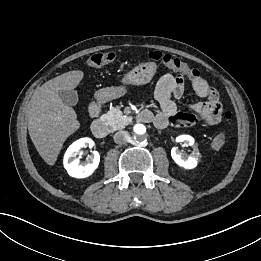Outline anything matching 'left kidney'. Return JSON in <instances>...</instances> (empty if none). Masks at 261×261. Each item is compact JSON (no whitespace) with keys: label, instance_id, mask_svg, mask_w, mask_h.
Segmentation results:
<instances>
[{"label":"left kidney","instance_id":"obj_1","mask_svg":"<svg viewBox=\"0 0 261 261\" xmlns=\"http://www.w3.org/2000/svg\"><path fill=\"white\" fill-rule=\"evenodd\" d=\"M177 142H183L193 147L192 153L187 156L179 151L176 147L172 148L171 156L177 165L185 169H193L197 166V162L200 156L198 147L194 144V138L189 135H181L177 137Z\"/></svg>","mask_w":261,"mask_h":261}]
</instances>
